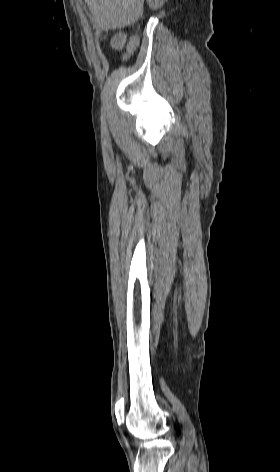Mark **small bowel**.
<instances>
[{"instance_id": "1", "label": "small bowel", "mask_w": 280, "mask_h": 472, "mask_svg": "<svg viewBox=\"0 0 280 472\" xmlns=\"http://www.w3.org/2000/svg\"><path fill=\"white\" fill-rule=\"evenodd\" d=\"M126 42V38L124 35H117L114 37L112 44L116 48H121L124 46ZM138 43V39L136 36L132 37L127 45V50L129 52L133 51Z\"/></svg>"}]
</instances>
